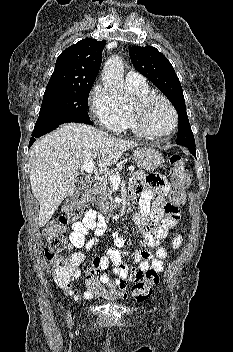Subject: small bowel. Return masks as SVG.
Instances as JSON below:
<instances>
[{"label":"small bowel","mask_w":233,"mask_h":352,"mask_svg":"<svg viewBox=\"0 0 233 352\" xmlns=\"http://www.w3.org/2000/svg\"><path fill=\"white\" fill-rule=\"evenodd\" d=\"M168 192L169 184L156 174L149 175L143 183L131 189V197L139 201L142 209V214L135 216L134 221L147 246L155 249V252L136 250L133 258L138 263V267L130 268L123 263L120 251L125 246V239L119 232H113V247L109 248L106 255L101 257L99 269L106 270L110 264H113L115 278H111L107 273H102L101 279L104 284L124 290L129 282H140L151 267L158 271L162 270L168 251L160 245L167 237L169 230L178 223L180 218L178 207H171L168 204ZM90 231H93L96 236H101L106 232L104 218L93 209L87 210L83 219L72 225L69 235L72 246L85 248L86 250L94 248L98 244V240L96 238L86 240ZM180 244L181 237L175 235L172 239V247L176 249ZM83 261L84 254L82 252L72 253L69 257V263L73 269V274L67 280H56L57 284L76 300H90L93 298L87 289L80 291L73 285V281L81 275L80 266Z\"/></svg>","instance_id":"1"}]
</instances>
